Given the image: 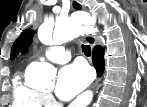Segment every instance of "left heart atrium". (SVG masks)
Here are the masks:
<instances>
[{"label": "left heart atrium", "instance_id": "39dd6f15", "mask_svg": "<svg viewBox=\"0 0 147 107\" xmlns=\"http://www.w3.org/2000/svg\"><path fill=\"white\" fill-rule=\"evenodd\" d=\"M92 79L89 68L82 63L63 67L57 79L56 95L61 100H70L85 89Z\"/></svg>", "mask_w": 147, "mask_h": 107}]
</instances>
